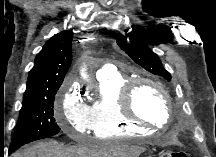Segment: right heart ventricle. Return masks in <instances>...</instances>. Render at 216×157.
<instances>
[{"label":"right heart ventricle","mask_w":216,"mask_h":157,"mask_svg":"<svg viewBox=\"0 0 216 157\" xmlns=\"http://www.w3.org/2000/svg\"><path fill=\"white\" fill-rule=\"evenodd\" d=\"M128 81L122 73L98 79V96L89 106L91 130L96 138L139 136L150 128L137 125L121 113V87Z\"/></svg>","instance_id":"obj_1"}]
</instances>
